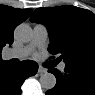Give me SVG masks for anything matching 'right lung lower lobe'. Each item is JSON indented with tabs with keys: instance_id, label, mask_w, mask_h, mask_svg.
Wrapping results in <instances>:
<instances>
[{
	"instance_id": "98d812e1",
	"label": "right lung lower lobe",
	"mask_w": 95,
	"mask_h": 95,
	"mask_svg": "<svg viewBox=\"0 0 95 95\" xmlns=\"http://www.w3.org/2000/svg\"><path fill=\"white\" fill-rule=\"evenodd\" d=\"M38 64L26 60L18 65L9 62L0 65V95H20L21 85L26 78L36 74Z\"/></svg>"
}]
</instances>
